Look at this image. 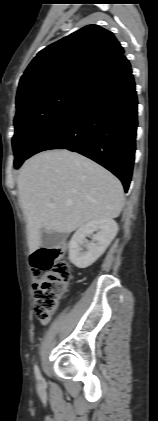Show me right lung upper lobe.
I'll use <instances>...</instances> for the list:
<instances>
[{
    "label": "right lung upper lobe",
    "instance_id": "cb5924a9",
    "mask_svg": "<svg viewBox=\"0 0 158 421\" xmlns=\"http://www.w3.org/2000/svg\"><path fill=\"white\" fill-rule=\"evenodd\" d=\"M123 54L111 31L87 25L37 54L20 79L16 102L54 86L85 85Z\"/></svg>",
    "mask_w": 158,
    "mask_h": 421
}]
</instances>
